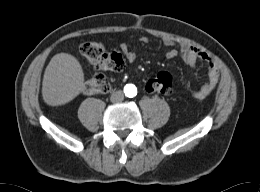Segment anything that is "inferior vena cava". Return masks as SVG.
Returning a JSON list of instances; mask_svg holds the SVG:
<instances>
[{"label":"inferior vena cava","mask_w":260,"mask_h":192,"mask_svg":"<svg viewBox=\"0 0 260 192\" xmlns=\"http://www.w3.org/2000/svg\"><path fill=\"white\" fill-rule=\"evenodd\" d=\"M123 99H124V94L122 91H116L110 97L111 102H114V103L121 102V101H123Z\"/></svg>","instance_id":"1"}]
</instances>
